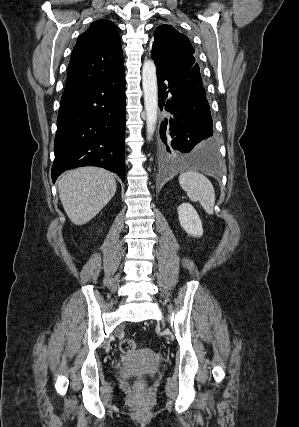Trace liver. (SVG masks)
<instances>
[{
    "label": "liver",
    "mask_w": 299,
    "mask_h": 427,
    "mask_svg": "<svg viewBox=\"0 0 299 427\" xmlns=\"http://www.w3.org/2000/svg\"><path fill=\"white\" fill-rule=\"evenodd\" d=\"M63 208L76 225L93 219L116 192L114 175L98 167H81L64 174L58 181Z\"/></svg>",
    "instance_id": "6515ba94"
}]
</instances>
